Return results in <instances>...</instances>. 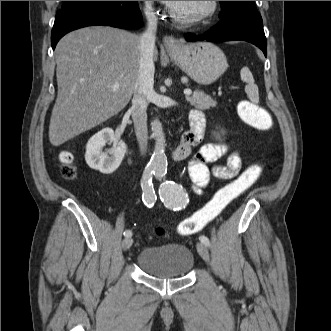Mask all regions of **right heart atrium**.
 <instances>
[{
    "mask_svg": "<svg viewBox=\"0 0 331 331\" xmlns=\"http://www.w3.org/2000/svg\"><path fill=\"white\" fill-rule=\"evenodd\" d=\"M144 9L146 10V14L148 16H152L154 14L153 9V1H144Z\"/></svg>",
    "mask_w": 331,
    "mask_h": 331,
    "instance_id": "d8ad5b80",
    "label": "right heart atrium"
}]
</instances>
